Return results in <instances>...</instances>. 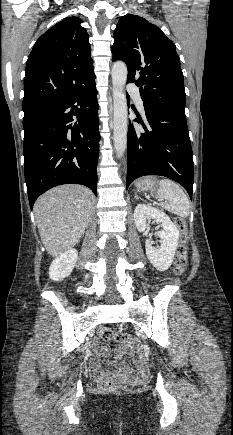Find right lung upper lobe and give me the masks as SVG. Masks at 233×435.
<instances>
[{
  "label": "right lung upper lobe",
  "mask_w": 233,
  "mask_h": 435,
  "mask_svg": "<svg viewBox=\"0 0 233 435\" xmlns=\"http://www.w3.org/2000/svg\"><path fill=\"white\" fill-rule=\"evenodd\" d=\"M81 23L78 17L65 18L33 46L24 78V116L61 100L94 75L88 33Z\"/></svg>",
  "instance_id": "1"
}]
</instances>
